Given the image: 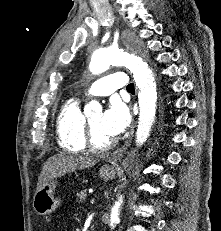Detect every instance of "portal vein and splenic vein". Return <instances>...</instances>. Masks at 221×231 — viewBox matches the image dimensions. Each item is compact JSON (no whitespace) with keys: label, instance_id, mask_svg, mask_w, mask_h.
<instances>
[{"label":"portal vein and splenic vein","instance_id":"1","mask_svg":"<svg viewBox=\"0 0 221 231\" xmlns=\"http://www.w3.org/2000/svg\"><path fill=\"white\" fill-rule=\"evenodd\" d=\"M90 203H91V204H94V203H95V198H94V197H91V198H90Z\"/></svg>","mask_w":221,"mask_h":231}]
</instances>
